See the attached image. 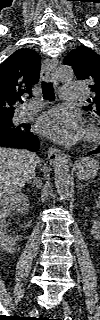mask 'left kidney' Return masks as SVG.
Segmentation results:
<instances>
[{
    "label": "left kidney",
    "mask_w": 100,
    "mask_h": 320,
    "mask_svg": "<svg viewBox=\"0 0 100 320\" xmlns=\"http://www.w3.org/2000/svg\"><path fill=\"white\" fill-rule=\"evenodd\" d=\"M91 234L93 235V237L95 239H99L100 238V229L99 226L94 225L91 229Z\"/></svg>",
    "instance_id": "1"
}]
</instances>
